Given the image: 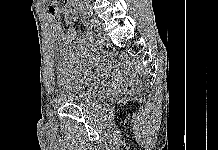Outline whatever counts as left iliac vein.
Masks as SVG:
<instances>
[{
  "mask_svg": "<svg viewBox=\"0 0 218 150\" xmlns=\"http://www.w3.org/2000/svg\"><path fill=\"white\" fill-rule=\"evenodd\" d=\"M93 19V27L96 29L99 38L101 41L106 40V36L104 34V23L103 21L97 19V18H92Z\"/></svg>",
  "mask_w": 218,
  "mask_h": 150,
  "instance_id": "obj_1",
  "label": "left iliac vein"
}]
</instances>
